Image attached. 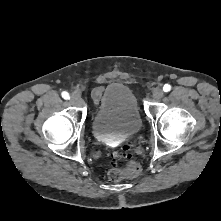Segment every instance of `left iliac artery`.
<instances>
[{
    "mask_svg": "<svg viewBox=\"0 0 221 221\" xmlns=\"http://www.w3.org/2000/svg\"><path fill=\"white\" fill-rule=\"evenodd\" d=\"M170 89H171V87L168 84L164 85V87H163L164 92H168V91H170Z\"/></svg>",
    "mask_w": 221,
    "mask_h": 221,
    "instance_id": "1",
    "label": "left iliac artery"
}]
</instances>
